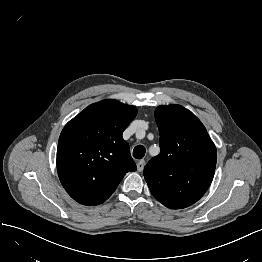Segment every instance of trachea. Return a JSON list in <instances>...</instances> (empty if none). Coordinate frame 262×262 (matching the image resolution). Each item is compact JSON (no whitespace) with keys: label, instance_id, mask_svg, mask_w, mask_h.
Masks as SVG:
<instances>
[{"label":"trachea","instance_id":"obj_1","mask_svg":"<svg viewBox=\"0 0 262 262\" xmlns=\"http://www.w3.org/2000/svg\"><path fill=\"white\" fill-rule=\"evenodd\" d=\"M146 153V149L143 145H138L133 149V157L136 159H142Z\"/></svg>","mask_w":262,"mask_h":262}]
</instances>
